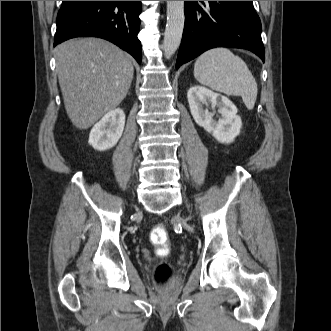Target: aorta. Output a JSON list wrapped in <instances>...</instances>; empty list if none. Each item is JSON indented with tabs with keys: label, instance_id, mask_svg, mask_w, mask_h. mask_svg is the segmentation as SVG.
<instances>
[{
	"label": "aorta",
	"instance_id": "1",
	"mask_svg": "<svg viewBox=\"0 0 331 331\" xmlns=\"http://www.w3.org/2000/svg\"><path fill=\"white\" fill-rule=\"evenodd\" d=\"M184 22V1H167V24L163 40V51L167 58L179 48Z\"/></svg>",
	"mask_w": 331,
	"mask_h": 331
}]
</instances>
